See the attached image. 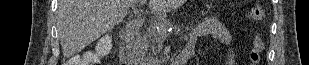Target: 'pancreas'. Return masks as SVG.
I'll return each instance as SVG.
<instances>
[{
    "label": "pancreas",
    "mask_w": 309,
    "mask_h": 65,
    "mask_svg": "<svg viewBox=\"0 0 309 65\" xmlns=\"http://www.w3.org/2000/svg\"><path fill=\"white\" fill-rule=\"evenodd\" d=\"M162 25H164L166 29L168 27L167 21L162 19L154 20L150 23L145 32L137 36L134 51L137 56L152 62L158 55L163 44V29L157 32L156 28Z\"/></svg>",
    "instance_id": "pancreas-1"
}]
</instances>
